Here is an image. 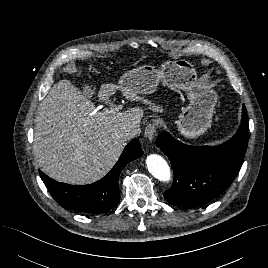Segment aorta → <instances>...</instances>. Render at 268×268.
Masks as SVG:
<instances>
[{"label":"aorta","instance_id":"762f6f07","mask_svg":"<svg viewBox=\"0 0 268 268\" xmlns=\"http://www.w3.org/2000/svg\"><path fill=\"white\" fill-rule=\"evenodd\" d=\"M146 165L148 171L159 181L168 182L170 180V167L162 156L150 154L146 158Z\"/></svg>","mask_w":268,"mask_h":268}]
</instances>
